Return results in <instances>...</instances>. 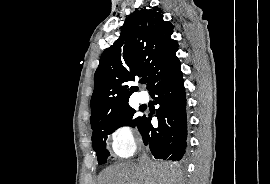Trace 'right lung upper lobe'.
Instances as JSON below:
<instances>
[{"label": "right lung upper lobe", "instance_id": "obj_1", "mask_svg": "<svg viewBox=\"0 0 270 184\" xmlns=\"http://www.w3.org/2000/svg\"><path fill=\"white\" fill-rule=\"evenodd\" d=\"M172 33L173 25L163 20L160 9H141L129 15L119 39L103 52L95 72L91 125L129 105L138 88L128 82L148 76L150 90L179 61Z\"/></svg>", "mask_w": 270, "mask_h": 184}]
</instances>
